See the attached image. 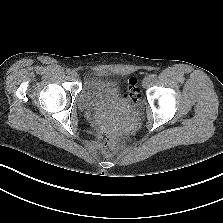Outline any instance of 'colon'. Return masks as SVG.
<instances>
[{
    "mask_svg": "<svg viewBox=\"0 0 223 223\" xmlns=\"http://www.w3.org/2000/svg\"><path fill=\"white\" fill-rule=\"evenodd\" d=\"M127 98L132 101H137L140 98V91L137 86L136 79H130L127 88ZM100 147L103 153L112 154L115 150V144L112 139V131L109 127H105L103 131V137L100 142Z\"/></svg>",
    "mask_w": 223,
    "mask_h": 223,
    "instance_id": "5ec220e1",
    "label": "colon"
}]
</instances>
